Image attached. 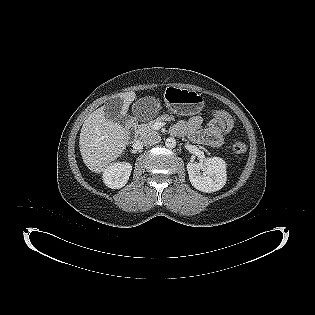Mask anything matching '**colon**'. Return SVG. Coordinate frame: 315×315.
<instances>
[{"label":"colon","mask_w":315,"mask_h":315,"mask_svg":"<svg viewBox=\"0 0 315 315\" xmlns=\"http://www.w3.org/2000/svg\"><path fill=\"white\" fill-rule=\"evenodd\" d=\"M213 116L216 119L220 118L221 122L225 123V126H223V128H222V131L225 134L231 133V131L233 129L232 127L236 126V124H237L236 119L232 118L231 117L232 115L229 112L226 113L223 110L222 111L216 110V111H214ZM231 149L234 153L241 154V153H244L246 151V146H245V144H243L241 142H237L231 146Z\"/></svg>","instance_id":"colon-1"}]
</instances>
